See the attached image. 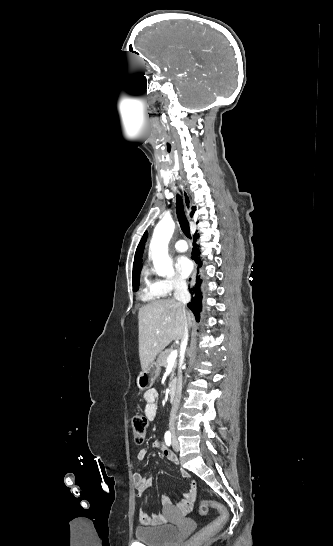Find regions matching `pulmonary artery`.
I'll list each match as a JSON object with an SVG mask.
<instances>
[{
    "mask_svg": "<svg viewBox=\"0 0 333 546\" xmlns=\"http://www.w3.org/2000/svg\"><path fill=\"white\" fill-rule=\"evenodd\" d=\"M174 249L177 252H185L188 249L187 243L185 240H178L174 243Z\"/></svg>",
    "mask_w": 333,
    "mask_h": 546,
    "instance_id": "pulmonary-artery-1",
    "label": "pulmonary artery"
}]
</instances>
